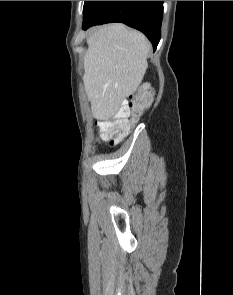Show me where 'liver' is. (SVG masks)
Wrapping results in <instances>:
<instances>
[{"instance_id":"liver-1","label":"liver","mask_w":233,"mask_h":295,"mask_svg":"<svg viewBox=\"0 0 233 295\" xmlns=\"http://www.w3.org/2000/svg\"><path fill=\"white\" fill-rule=\"evenodd\" d=\"M83 82L92 115L108 120L133 94L146 73L151 44L121 23L93 28L87 37Z\"/></svg>"}]
</instances>
